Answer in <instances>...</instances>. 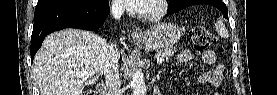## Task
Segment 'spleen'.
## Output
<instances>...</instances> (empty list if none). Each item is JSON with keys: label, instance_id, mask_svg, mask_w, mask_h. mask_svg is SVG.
<instances>
[{"label": "spleen", "instance_id": "3e777b00", "mask_svg": "<svg viewBox=\"0 0 277 95\" xmlns=\"http://www.w3.org/2000/svg\"><path fill=\"white\" fill-rule=\"evenodd\" d=\"M216 31L222 38H228L229 33L228 30L226 29L225 25L223 24L222 21H217L216 23Z\"/></svg>", "mask_w": 277, "mask_h": 95}]
</instances>
